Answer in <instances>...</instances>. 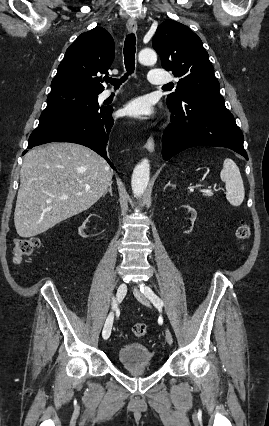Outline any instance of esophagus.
I'll use <instances>...</instances> for the list:
<instances>
[{"label": "esophagus", "instance_id": "1", "mask_svg": "<svg viewBox=\"0 0 269 426\" xmlns=\"http://www.w3.org/2000/svg\"><path fill=\"white\" fill-rule=\"evenodd\" d=\"M127 29L129 32L135 33L137 31V22L134 19H129L127 21ZM145 147L151 153L154 151L155 143L152 137L147 140Z\"/></svg>", "mask_w": 269, "mask_h": 426}]
</instances>
